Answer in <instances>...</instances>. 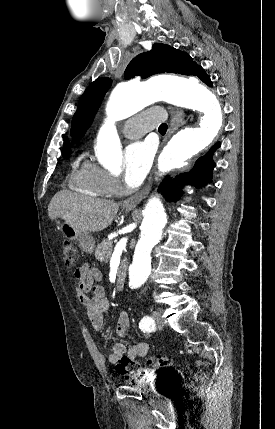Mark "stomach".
<instances>
[{
	"label": "stomach",
	"instance_id": "1",
	"mask_svg": "<svg viewBox=\"0 0 275 429\" xmlns=\"http://www.w3.org/2000/svg\"><path fill=\"white\" fill-rule=\"evenodd\" d=\"M126 210H131V208ZM58 230L64 238L78 241L79 247L86 253L93 252L95 240L89 232L75 228L66 221L58 222Z\"/></svg>",
	"mask_w": 275,
	"mask_h": 429
}]
</instances>
